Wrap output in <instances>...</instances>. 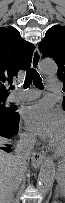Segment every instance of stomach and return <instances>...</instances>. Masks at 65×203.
<instances>
[{"instance_id":"1","label":"stomach","mask_w":65,"mask_h":203,"mask_svg":"<svg viewBox=\"0 0 65 203\" xmlns=\"http://www.w3.org/2000/svg\"><path fill=\"white\" fill-rule=\"evenodd\" d=\"M58 182H59V185L61 186L62 194H64V188H65V171L64 170L59 174Z\"/></svg>"}]
</instances>
